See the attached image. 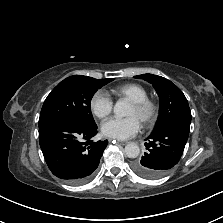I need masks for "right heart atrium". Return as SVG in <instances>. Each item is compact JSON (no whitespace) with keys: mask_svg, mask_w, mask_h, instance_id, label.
I'll use <instances>...</instances> for the list:
<instances>
[{"mask_svg":"<svg viewBox=\"0 0 223 223\" xmlns=\"http://www.w3.org/2000/svg\"><path fill=\"white\" fill-rule=\"evenodd\" d=\"M90 109L98 119H106L113 110V101L105 92L98 91L91 98Z\"/></svg>","mask_w":223,"mask_h":223,"instance_id":"1","label":"right heart atrium"}]
</instances>
